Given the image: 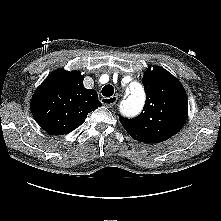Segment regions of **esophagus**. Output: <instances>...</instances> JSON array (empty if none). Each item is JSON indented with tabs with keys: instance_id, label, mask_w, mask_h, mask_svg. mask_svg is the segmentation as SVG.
Returning <instances> with one entry per match:
<instances>
[{
	"instance_id": "34e87169",
	"label": "esophagus",
	"mask_w": 221,
	"mask_h": 221,
	"mask_svg": "<svg viewBox=\"0 0 221 221\" xmlns=\"http://www.w3.org/2000/svg\"><path fill=\"white\" fill-rule=\"evenodd\" d=\"M116 101H117L116 96L101 98L102 104L105 105L106 107H112L116 103Z\"/></svg>"
}]
</instances>
